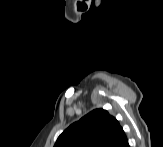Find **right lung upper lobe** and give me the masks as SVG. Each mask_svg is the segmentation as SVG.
<instances>
[{"label": "right lung upper lobe", "mask_w": 163, "mask_h": 147, "mask_svg": "<svg viewBox=\"0 0 163 147\" xmlns=\"http://www.w3.org/2000/svg\"><path fill=\"white\" fill-rule=\"evenodd\" d=\"M125 136L119 122L106 110L95 109L71 124L54 147H114Z\"/></svg>", "instance_id": "right-lung-upper-lobe-1"}]
</instances>
